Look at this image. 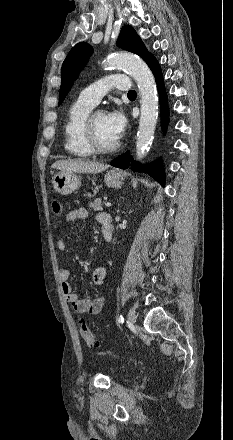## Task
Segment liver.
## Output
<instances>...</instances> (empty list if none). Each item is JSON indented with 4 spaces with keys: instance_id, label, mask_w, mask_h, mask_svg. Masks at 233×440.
Here are the masks:
<instances>
[{
    "instance_id": "obj_1",
    "label": "liver",
    "mask_w": 233,
    "mask_h": 440,
    "mask_svg": "<svg viewBox=\"0 0 233 440\" xmlns=\"http://www.w3.org/2000/svg\"><path fill=\"white\" fill-rule=\"evenodd\" d=\"M109 166L83 159L59 160L53 163L52 168L66 173H99Z\"/></svg>"
}]
</instances>
